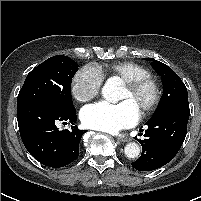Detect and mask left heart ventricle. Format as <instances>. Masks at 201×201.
I'll return each mask as SVG.
<instances>
[{
    "instance_id": "left-heart-ventricle-1",
    "label": "left heart ventricle",
    "mask_w": 201,
    "mask_h": 201,
    "mask_svg": "<svg viewBox=\"0 0 201 201\" xmlns=\"http://www.w3.org/2000/svg\"><path fill=\"white\" fill-rule=\"evenodd\" d=\"M151 95L152 93L149 87H144L141 90L132 93L124 86L119 101H129L138 111H140L150 101Z\"/></svg>"
}]
</instances>
